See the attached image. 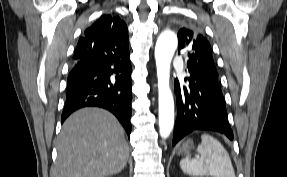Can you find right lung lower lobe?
<instances>
[{"label":"right lung lower lobe","mask_w":287,"mask_h":177,"mask_svg":"<svg viewBox=\"0 0 287 177\" xmlns=\"http://www.w3.org/2000/svg\"><path fill=\"white\" fill-rule=\"evenodd\" d=\"M131 72L128 36L88 43L86 55L74 62L68 75L62 123L80 108L102 107L112 112L130 135Z\"/></svg>","instance_id":"right-lung-lower-lobe-1"}]
</instances>
